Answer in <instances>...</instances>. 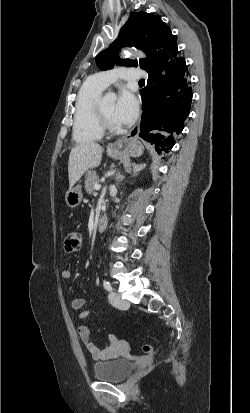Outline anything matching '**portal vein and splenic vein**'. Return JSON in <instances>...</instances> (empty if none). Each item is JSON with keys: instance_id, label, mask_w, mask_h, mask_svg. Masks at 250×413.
<instances>
[{"instance_id": "1", "label": "portal vein and splenic vein", "mask_w": 250, "mask_h": 413, "mask_svg": "<svg viewBox=\"0 0 250 413\" xmlns=\"http://www.w3.org/2000/svg\"><path fill=\"white\" fill-rule=\"evenodd\" d=\"M101 188V185L100 184H96L95 186H94V189L95 190H99Z\"/></svg>"}]
</instances>
